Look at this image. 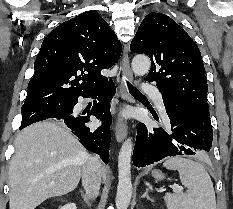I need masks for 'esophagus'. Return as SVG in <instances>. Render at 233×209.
<instances>
[{"mask_svg":"<svg viewBox=\"0 0 233 209\" xmlns=\"http://www.w3.org/2000/svg\"><path fill=\"white\" fill-rule=\"evenodd\" d=\"M121 65H122L123 79L121 81L120 97L121 100L125 102L130 100V95L127 90L126 82L131 81L133 79V74L130 68L129 57L126 49L122 57ZM127 131H128L127 125L120 120L115 128L116 140L118 142H122L127 136Z\"/></svg>","mask_w":233,"mask_h":209,"instance_id":"34e87169","label":"esophagus"}]
</instances>
